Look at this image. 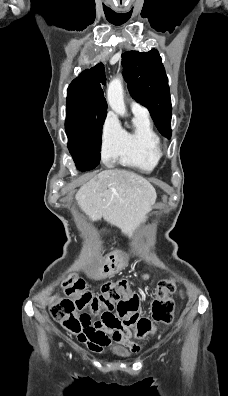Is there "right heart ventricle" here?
I'll return each mask as SVG.
<instances>
[{"instance_id":"e07e8e85","label":"right heart ventricle","mask_w":228,"mask_h":396,"mask_svg":"<svg viewBox=\"0 0 228 396\" xmlns=\"http://www.w3.org/2000/svg\"><path fill=\"white\" fill-rule=\"evenodd\" d=\"M161 156L160 138L148 115L134 113L132 127L128 130L122 129L117 161L124 166L151 172L158 165Z\"/></svg>"}]
</instances>
